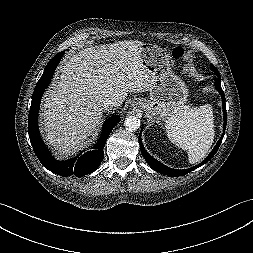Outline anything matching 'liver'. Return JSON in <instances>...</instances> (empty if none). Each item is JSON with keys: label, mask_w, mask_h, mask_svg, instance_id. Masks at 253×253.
Listing matches in <instances>:
<instances>
[{"label": "liver", "mask_w": 253, "mask_h": 253, "mask_svg": "<svg viewBox=\"0 0 253 253\" xmlns=\"http://www.w3.org/2000/svg\"><path fill=\"white\" fill-rule=\"evenodd\" d=\"M138 40L91 46L69 57L43 98L45 139L59 157L80 149L94 132L105 99L120 104L127 94L146 92L155 75L143 64Z\"/></svg>", "instance_id": "1"}]
</instances>
